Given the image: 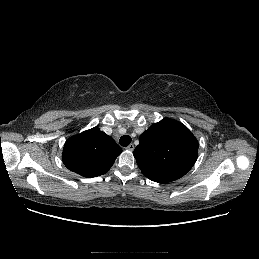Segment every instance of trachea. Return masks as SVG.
<instances>
[{
	"label": "trachea",
	"mask_w": 259,
	"mask_h": 259,
	"mask_svg": "<svg viewBox=\"0 0 259 259\" xmlns=\"http://www.w3.org/2000/svg\"><path fill=\"white\" fill-rule=\"evenodd\" d=\"M119 143L121 146L126 147L131 143V137L129 135H123L120 138Z\"/></svg>",
	"instance_id": "trachea-1"
}]
</instances>
